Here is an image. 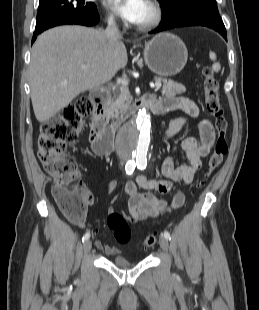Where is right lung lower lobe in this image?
Returning a JSON list of instances; mask_svg holds the SVG:
<instances>
[{"mask_svg": "<svg viewBox=\"0 0 259 310\" xmlns=\"http://www.w3.org/2000/svg\"><path fill=\"white\" fill-rule=\"evenodd\" d=\"M99 21V14L97 10L93 13H90L87 17L80 18V19H69V18H54L49 20L43 26L36 28V31L33 34L32 43L36 40L37 35L42 33L43 31L52 28L54 26L64 25V24H80L86 26H92L97 24Z\"/></svg>", "mask_w": 259, "mask_h": 310, "instance_id": "right-lung-lower-lobe-1", "label": "right lung lower lobe"}]
</instances>
